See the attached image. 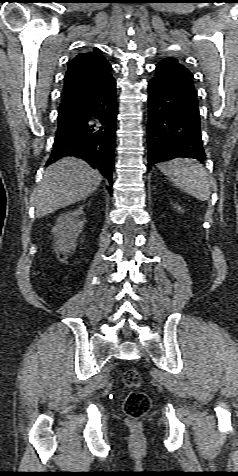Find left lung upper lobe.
Here are the masks:
<instances>
[{
    "instance_id": "obj_1",
    "label": "left lung upper lobe",
    "mask_w": 238,
    "mask_h": 476,
    "mask_svg": "<svg viewBox=\"0 0 238 476\" xmlns=\"http://www.w3.org/2000/svg\"><path fill=\"white\" fill-rule=\"evenodd\" d=\"M169 70L170 74L176 77L185 87L195 91L192 73L175 58H165L157 64Z\"/></svg>"
}]
</instances>
